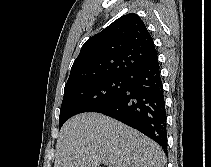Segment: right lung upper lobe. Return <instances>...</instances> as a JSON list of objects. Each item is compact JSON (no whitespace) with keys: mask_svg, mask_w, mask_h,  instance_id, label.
Instances as JSON below:
<instances>
[{"mask_svg":"<svg viewBox=\"0 0 211 167\" xmlns=\"http://www.w3.org/2000/svg\"><path fill=\"white\" fill-rule=\"evenodd\" d=\"M157 58L141 18L130 13L88 39L74 61L64 89L107 76H126Z\"/></svg>","mask_w":211,"mask_h":167,"instance_id":"cb5924a9","label":"right lung upper lobe"}]
</instances>
